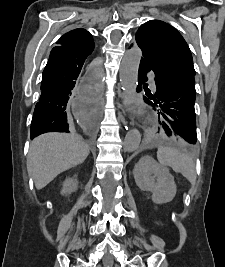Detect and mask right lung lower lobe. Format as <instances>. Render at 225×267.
<instances>
[{"instance_id":"right-lung-lower-lobe-1","label":"right lung lower lobe","mask_w":225,"mask_h":267,"mask_svg":"<svg viewBox=\"0 0 225 267\" xmlns=\"http://www.w3.org/2000/svg\"><path fill=\"white\" fill-rule=\"evenodd\" d=\"M93 49L94 46L58 45L51 50L31 122V139L46 132H68L67 103L79 85L80 73ZM95 83L94 76L88 80L87 95L94 94Z\"/></svg>"}]
</instances>
